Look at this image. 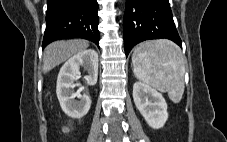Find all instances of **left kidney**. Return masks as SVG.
I'll list each match as a JSON object with an SVG mask.
<instances>
[{
  "mask_svg": "<svg viewBox=\"0 0 227 142\" xmlns=\"http://www.w3.org/2000/svg\"><path fill=\"white\" fill-rule=\"evenodd\" d=\"M133 99L137 109L151 128L159 129L164 126L168 119V112L162 94L143 82H135Z\"/></svg>",
  "mask_w": 227,
  "mask_h": 142,
  "instance_id": "left-kidney-1",
  "label": "left kidney"
}]
</instances>
